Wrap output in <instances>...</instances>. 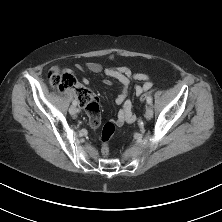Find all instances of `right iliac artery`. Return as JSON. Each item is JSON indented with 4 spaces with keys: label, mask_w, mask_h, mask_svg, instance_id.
I'll use <instances>...</instances> for the list:
<instances>
[{
    "label": "right iliac artery",
    "mask_w": 222,
    "mask_h": 222,
    "mask_svg": "<svg viewBox=\"0 0 222 222\" xmlns=\"http://www.w3.org/2000/svg\"><path fill=\"white\" fill-rule=\"evenodd\" d=\"M72 104H73L74 106H76V105H77V101L74 100Z\"/></svg>",
    "instance_id": "right-iliac-artery-1"
}]
</instances>
